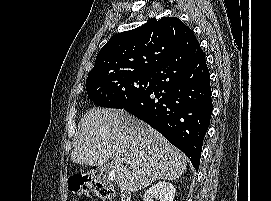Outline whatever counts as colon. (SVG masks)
<instances>
[{
    "label": "colon",
    "instance_id": "obj_1",
    "mask_svg": "<svg viewBox=\"0 0 271 201\" xmlns=\"http://www.w3.org/2000/svg\"><path fill=\"white\" fill-rule=\"evenodd\" d=\"M69 189L73 193L84 197L93 193L103 200L111 201L114 198L113 188L93 176L72 178L69 181Z\"/></svg>",
    "mask_w": 271,
    "mask_h": 201
}]
</instances>
